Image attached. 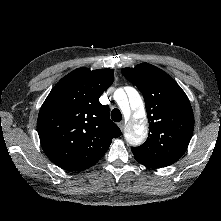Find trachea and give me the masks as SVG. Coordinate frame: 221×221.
I'll list each match as a JSON object with an SVG mask.
<instances>
[{
	"instance_id": "3493384b",
	"label": "trachea",
	"mask_w": 221,
	"mask_h": 221,
	"mask_svg": "<svg viewBox=\"0 0 221 221\" xmlns=\"http://www.w3.org/2000/svg\"><path fill=\"white\" fill-rule=\"evenodd\" d=\"M111 119L114 122H120L122 120V114L119 109L114 108L111 112Z\"/></svg>"
}]
</instances>
